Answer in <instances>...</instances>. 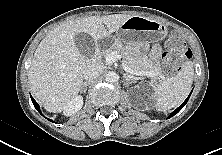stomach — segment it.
<instances>
[{"instance_id": "0dacf381", "label": "stomach", "mask_w": 222, "mask_h": 155, "mask_svg": "<svg viewBox=\"0 0 222 155\" xmlns=\"http://www.w3.org/2000/svg\"><path fill=\"white\" fill-rule=\"evenodd\" d=\"M167 27L159 21L133 16L127 20L116 32L112 39L127 46H136L142 43H153L164 39ZM141 55H137L140 58ZM141 70V69H140Z\"/></svg>"}]
</instances>
